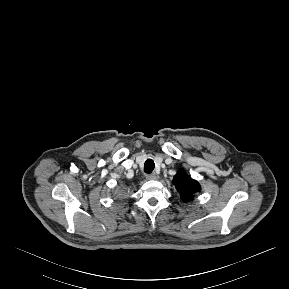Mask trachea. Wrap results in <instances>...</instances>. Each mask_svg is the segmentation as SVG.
Wrapping results in <instances>:
<instances>
[{
	"instance_id": "trachea-1",
	"label": "trachea",
	"mask_w": 289,
	"mask_h": 289,
	"mask_svg": "<svg viewBox=\"0 0 289 289\" xmlns=\"http://www.w3.org/2000/svg\"><path fill=\"white\" fill-rule=\"evenodd\" d=\"M155 167V163L152 159H147L144 163V172L150 174Z\"/></svg>"
}]
</instances>
